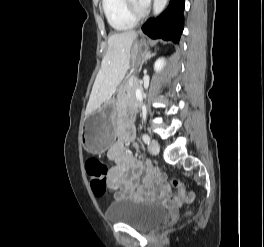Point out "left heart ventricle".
<instances>
[{
  "instance_id": "1",
  "label": "left heart ventricle",
  "mask_w": 264,
  "mask_h": 247,
  "mask_svg": "<svg viewBox=\"0 0 264 247\" xmlns=\"http://www.w3.org/2000/svg\"><path fill=\"white\" fill-rule=\"evenodd\" d=\"M134 3H135V5H136V7H137L138 9H142V8H144L143 6H141V5L138 3L137 0H134Z\"/></svg>"
}]
</instances>
